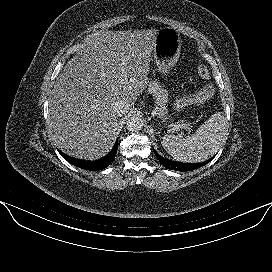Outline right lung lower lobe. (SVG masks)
I'll use <instances>...</instances> for the list:
<instances>
[{"instance_id":"1","label":"right lung lower lobe","mask_w":272,"mask_h":272,"mask_svg":"<svg viewBox=\"0 0 272 272\" xmlns=\"http://www.w3.org/2000/svg\"><path fill=\"white\" fill-rule=\"evenodd\" d=\"M117 149H118V139L115 142L113 149L111 150L110 153H108L105 157L95 160V161L79 160V159L67 156L66 154L62 153L59 150L58 151L62 155V157L65 160H67L69 163H71L77 167L83 168V169L97 171V170H102V169L106 168L113 161V159L116 156Z\"/></svg>"}]
</instances>
